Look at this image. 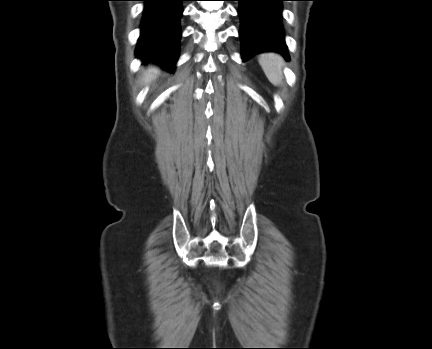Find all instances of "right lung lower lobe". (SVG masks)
I'll return each mask as SVG.
<instances>
[{
	"label": "right lung lower lobe",
	"instance_id": "obj_1",
	"mask_svg": "<svg viewBox=\"0 0 432 349\" xmlns=\"http://www.w3.org/2000/svg\"><path fill=\"white\" fill-rule=\"evenodd\" d=\"M145 10L136 55L144 62H157L172 72L178 59L184 0H143Z\"/></svg>",
	"mask_w": 432,
	"mask_h": 349
}]
</instances>
